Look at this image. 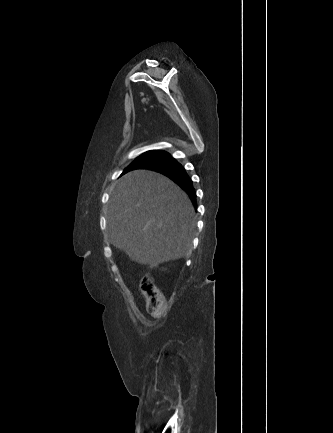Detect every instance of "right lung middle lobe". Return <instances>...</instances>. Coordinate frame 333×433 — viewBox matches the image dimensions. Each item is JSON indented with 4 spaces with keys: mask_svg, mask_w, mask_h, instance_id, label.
I'll list each match as a JSON object with an SVG mask.
<instances>
[{
    "mask_svg": "<svg viewBox=\"0 0 333 433\" xmlns=\"http://www.w3.org/2000/svg\"><path fill=\"white\" fill-rule=\"evenodd\" d=\"M165 155H168L167 152L164 151H149L146 152L144 154H142L141 156H139L133 163H131L126 170L124 171V173H126L127 171L136 169L141 167L143 164H147L149 162H153Z\"/></svg>",
    "mask_w": 333,
    "mask_h": 433,
    "instance_id": "right-lung-middle-lobe-1",
    "label": "right lung middle lobe"
}]
</instances>
